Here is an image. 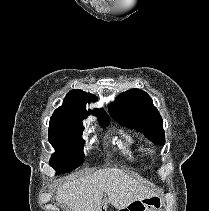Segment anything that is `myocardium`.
Returning a JSON list of instances; mask_svg holds the SVG:
<instances>
[{
  "mask_svg": "<svg viewBox=\"0 0 209 211\" xmlns=\"http://www.w3.org/2000/svg\"><path fill=\"white\" fill-rule=\"evenodd\" d=\"M149 151H150V153H153V150L152 149H150Z\"/></svg>",
  "mask_w": 209,
  "mask_h": 211,
  "instance_id": "myocardium-1",
  "label": "myocardium"
}]
</instances>
